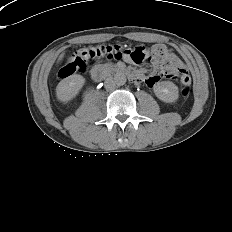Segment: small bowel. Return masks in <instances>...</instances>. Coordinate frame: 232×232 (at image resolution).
<instances>
[{"instance_id":"1","label":"small bowel","mask_w":232,"mask_h":232,"mask_svg":"<svg viewBox=\"0 0 232 232\" xmlns=\"http://www.w3.org/2000/svg\"><path fill=\"white\" fill-rule=\"evenodd\" d=\"M155 46H153L150 50V52L153 50ZM142 48V47H140ZM144 49V48H143ZM146 50V49H145ZM169 52V51H168ZM169 54L173 57V59L175 60V63L176 65L179 67V68H183V64L182 62L180 61L179 58H177L173 53L169 52ZM131 61V60H130ZM133 62V61H132ZM161 74H162V71H156L153 76L149 79V82L151 83H156L160 80L161 78Z\"/></svg>"}]
</instances>
